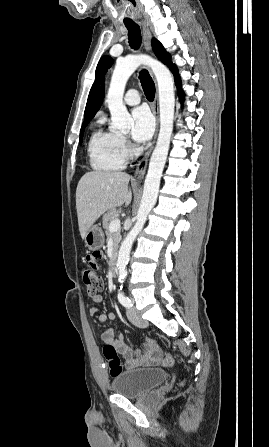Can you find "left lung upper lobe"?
<instances>
[{
  "mask_svg": "<svg viewBox=\"0 0 269 447\" xmlns=\"http://www.w3.org/2000/svg\"><path fill=\"white\" fill-rule=\"evenodd\" d=\"M153 50L156 54V56L165 64H168L169 66L172 64L170 63L171 56L169 53L166 52V50L163 48L160 42L153 39L152 41ZM113 59L109 56H103L101 60L99 61L96 73H95V82L90 90L86 109H85V116L91 106V103L93 101V98L99 88L101 78L104 75V73L107 71V69L112 65Z\"/></svg>",
  "mask_w": 269,
  "mask_h": 447,
  "instance_id": "left-lung-upper-lobe-1",
  "label": "left lung upper lobe"
}]
</instances>
